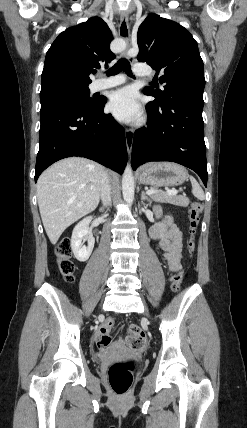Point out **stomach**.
I'll return each instance as SVG.
<instances>
[{
	"label": "stomach",
	"instance_id": "obj_1",
	"mask_svg": "<svg viewBox=\"0 0 247 428\" xmlns=\"http://www.w3.org/2000/svg\"><path fill=\"white\" fill-rule=\"evenodd\" d=\"M139 181L143 184L158 186H178L188 178L183 166L172 162H156L142 167L138 172Z\"/></svg>",
	"mask_w": 247,
	"mask_h": 428
}]
</instances>
